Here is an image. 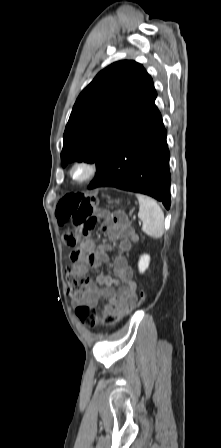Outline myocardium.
I'll return each mask as SVG.
<instances>
[{
  "mask_svg": "<svg viewBox=\"0 0 221 448\" xmlns=\"http://www.w3.org/2000/svg\"><path fill=\"white\" fill-rule=\"evenodd\" d=\"M78 170H83L84 175L77 176L76 172ZM99 172L100 168L96 162L91 160H79L71 166L69 176L74 182L78 184H85L94 180L98 176Z\"/></svg>",
  "mask_w": 221,
  "mask_h": 448,
  "instance_id": "myocardium-1",
  "label": "myocardium"
}]
</instances>
